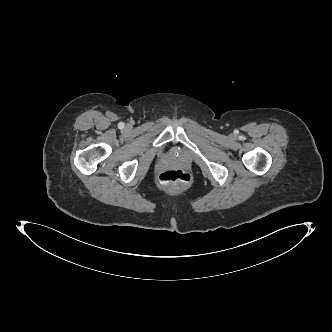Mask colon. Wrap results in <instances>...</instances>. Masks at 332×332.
Returning a JSON list of instances; mask_svg holds the SVG:
<instances>
[{
	"instance_id": "1",
	"label": "colon",
	"mask_w": 332,
	"mask_h": 332,
	"mask_svg": "<svg viewBox=\"0 0 332 332\" xmlns=\"http://www.w3.org/2000/svg\"><path fill=\"white\" fill-rule=\"evenodd\" d=\"M158 179L161 184L178 186L188 184L191 180V177L188 173L182 170L172 169L163 171L159 175Z\"/></svg>"
}]
</instances>
